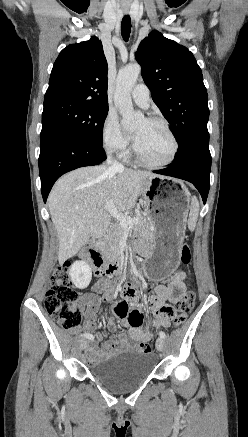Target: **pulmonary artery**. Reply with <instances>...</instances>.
Instances as JSON below:
<instances>
[{"label":"pulmonary artery","mask_w":248,"mask_h":437,"mask_svg":"<svg viewBox=\"0 0 248 437\" xmlns=\"http://www.w3.org/2000/svg\"><path fill=\"white\" fill-rule=\"evenodd\" d=\"M131 96L137 105L144 108L149 106L150 91L145 84L139 83L135 85V87L131 91Z\"/></svg>","instance_id":"1"}]
</instances>
